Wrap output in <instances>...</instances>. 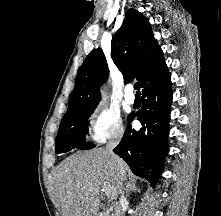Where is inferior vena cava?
Instances as JSON below:
<instances>
[{
	"mask_svg": "<svg viewBox=\"0 0 221 216\" xmlns=\"http://www.w3.org/2000/svg\"><path fill=\"white\" fill-rule=\"evenodd\" d=\"M119 139L110 142L107 146H106V150L116 159V163H117V168L119 170V173L121 175V179H125V171L123 168V164L122 161L117 158V156L113 153V149L115 148V146L118 144ZM126 203V199L124 197V193H121L120 199H119V204L116 206L115 208V216H125L124 215V205Z\"/></svg>",
	"mask_w": 221,
	"mask_h": 216,
	"instance_id": "602c4592",
	"label": "inferior vena cava"
}]
</instances>
